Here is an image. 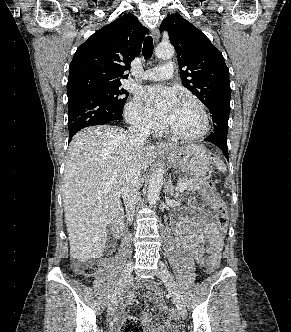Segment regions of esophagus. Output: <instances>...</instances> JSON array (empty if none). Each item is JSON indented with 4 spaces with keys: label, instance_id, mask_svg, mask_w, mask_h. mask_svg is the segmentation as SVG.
<instances>
[{
    "label": "esophagus",
    "instance_id": "obj_1",
    "mask_svg": "<svg viewBox=\"0 0 291 332\" xmlns=\"http://www.w3.org/2000/svg\"><path fill=\"white\" fill-rule=\"evenodd\" d=\"M151 34H152V37L154 39V42L157 43L159 41V39H160L159 30L158 29H154ZM157 147L158 148H166L167 144L164 143V142H159V143H157Z\"/></svg>",
    "mask_w": 291,
    "mask_h": 332
}]
</instances>
